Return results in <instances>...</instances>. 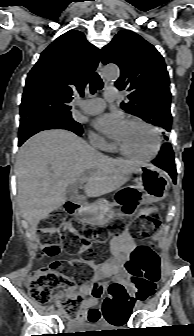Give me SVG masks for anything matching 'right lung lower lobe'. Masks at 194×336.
I'll list each match as a JSON object with an SVG mask.
<instances>
[{"instance_id": "obj_1", "label": "right lung lower lobe", "mask_w": 194, "mask_h": 336, "mask_svg": "<svg viewBox=\"0 0 194 336\" xmlns=\"http://www.w3.org/2000/svg\"><path fill=\"white\" fill-rule=\"evenodd\" d=\"M77 135H81V134H77ZM27 139H23V140H19V146H21L23 143H24V141H26Z\"/></svg>"}]
</instances>
